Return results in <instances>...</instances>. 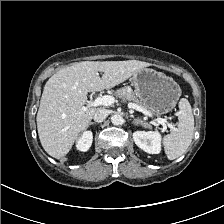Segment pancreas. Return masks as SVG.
Returning <instances> with one entry per match:
<instances>
[{
	"instance_id": "cf45deb5",
	"label": "pancreas",
	"mask_w": 224,
	"mask_h": 224,
	"mask_svg": "<svg viewBox=\"0 0 224 224\" xmlns=\"http://www.w3.org/2000/svg\"><path fill=\"white\" fill-rule=\"evenodd\" d=\"M115 95L119 98H125L126 100L149 111L148 108L146 107V105L142 101L139 100V98L135 95V93L132 91V89L128 86L118 89L115 92Z\"/></svg>"
}]
</instances>
